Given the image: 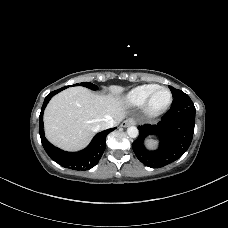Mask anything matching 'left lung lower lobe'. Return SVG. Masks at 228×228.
Segmentation results:
<instances>
[{
  "label": "left lung lower lobe",
  "instance_id": "left-lung-lower-lobe-1",
  "mask_svg": "<svg viewBox=\"0 0 228 228\" xmlns=\"http://www.w3.org/2000/svg\"><path fill=\"white\" fill-rule=\"evenodd\" d=\"M195 107L188 95L174 98L171 108L157 125L138 126L139 136L132 148L137 158L146 166L160 168L179 159L189 148L195 126ZM158 135L157 150L145 148V138Z\"/></svg>",
  "mask_w": 228,
  "mask_h": 228
}]
</instances>
